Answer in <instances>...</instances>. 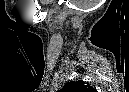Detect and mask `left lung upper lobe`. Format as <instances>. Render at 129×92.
Masks as SVG:
<instances>
[{"mask_svg": "<svg viewBox=\"0 0 129 92\" xmlns=\"http://www.w3.org/2000/svg\"><path fill=\"white\" fill-rule=\"evenodd\" d=\"M95 90L83 81H71L60 92H94Z\"/></svg>", "mask_w": 129, "mask_h": 92, "instance_id": "left-lung-upper-lobe-1", "label": "left lung upper lobe"}]
</instances>
